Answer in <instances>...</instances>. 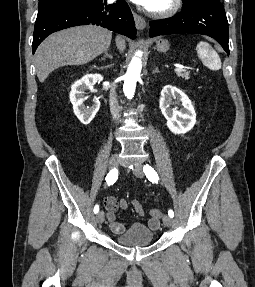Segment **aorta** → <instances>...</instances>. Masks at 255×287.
I'll list each match as a JSON object with an SVG mask.
<instances>
[{
  "mask_svg": "<svg viewBox=\"0 0 255 287\" xmlns=\"http://www.w3.org/2000/svg\"><path fill=\"white\" fill-rule=\"evenodd\" d=\"M141 51L136 53L128 66L127 72L124 75L123 91L127 98L132 99L135 93L136 82L140 78L142 69Z\"/></svg>",
  "mask_w": 255,
  "mask_h": 287,
  "instance_id": "obj_1",
  "label": "aorta"
}]
</instances>
